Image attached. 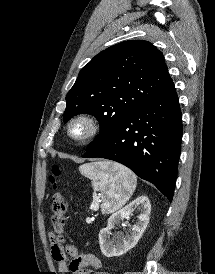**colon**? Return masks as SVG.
<instances>
[{"label": "colon", "instance_id": "5ec220e1", "mask_svg": "<svg viewBox=\"0 0 215 274\" xmlns=\"http://www.w3.org/2000/svg\"><path fill=\"white\" fill-rule=\"evenodd\" d=\"M61 170L57 165L52 167V173L49 177L50 183L53 186L54 194L52 198V217L51 222L54 232L50 234V240L62 242V228L64 225V215L67 210V201L64 193L60 189L59 180Z\"/></svg>", "mask_w": 215, "mask_h": 274}]
</instances>
